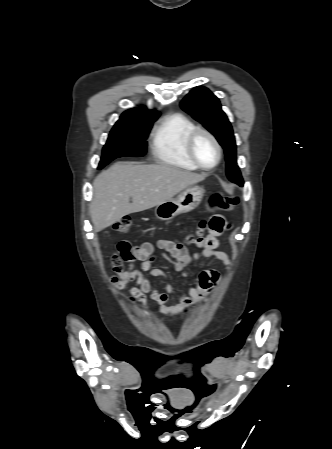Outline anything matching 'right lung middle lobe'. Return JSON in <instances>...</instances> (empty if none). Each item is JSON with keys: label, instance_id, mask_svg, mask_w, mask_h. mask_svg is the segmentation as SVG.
I'll return each instance as SVG.
<instances>
[{"label": "right lung middle lobe", "instance_id": "1", "mask_svg": "<svg viewBox=\"0 0 332 449\" xmlns=\"http://www.w3.org/2000/svg\"><path fill=\"white\" fill-rule=\"evenodd\" d=\"M155 119L118 120L103 148L98 169L118 157H141L146 153L147 136Z\"/></svg>", "mask_w": 332, "mask_h": 449}]
</instances>
